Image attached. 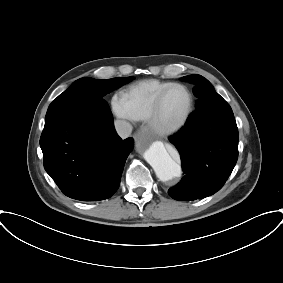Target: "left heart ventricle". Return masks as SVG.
Listing matches in <instances>:
<instances>
[{
  "label": "left heart ventricle",
  "instance_id": "b2bd125f",
  "mask_svg": "<svg viewBox=\"0 0 283 283\" xmlns=\"http://www.w3.org/2000/svg\"><path fill=\"white\" fill-rule=\"evenodd\" d=\"M189 106V95L182 88L172 89L163 99L158 122L164 127L178 123Z\"/></svg>",
  "mask_w": 283,
  "mask_h": 283
}]
</instances>
